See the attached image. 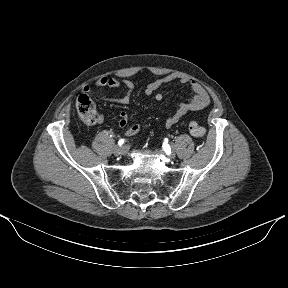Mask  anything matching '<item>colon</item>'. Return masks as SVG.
<instances>
[{"mask_svg": "<svg viewBox=\"0 0 288 288\" xmlns=\"http://www.w3.org/2000/svg\"><path fill=\"white\" fill-rule=\"evenodd\" d=\"M76 110L79 116L88 124H96L99 122L96 105L88 94H81L76 100ZM190 133L195 137H203L206 129L196 121H191L188 125Z\"/></svg>", "mask_w": 288, "mask_h": 288, "instance_id": "obj_1", "label": "colon"}]
</instances>
